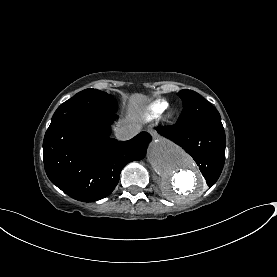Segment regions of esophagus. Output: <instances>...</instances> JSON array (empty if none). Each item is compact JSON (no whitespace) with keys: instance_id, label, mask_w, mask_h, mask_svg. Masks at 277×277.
<instances>
[{"instance_id":"1","label":"esophagus","mask_w":277,"mask_h":277,"mask_svg":"<svg viewBox=\"0 0 277 277\" xmlns=\"http://www.w3.org/2000/svg\"><path fill=\"white\" fill-rule=\"evenodd\" d=\"M149 132H150V133H152V130H151V129H149Z\"/></svg>"}]
</instances>
